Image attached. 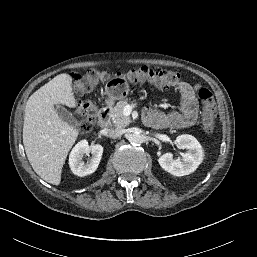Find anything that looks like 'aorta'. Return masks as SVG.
Returning <instances> with one entry per match:
<instances>
[{"mask_svg":"<svg viewBox=\"0 0 257 257\" xmlns=\"http://www.w3.org/2000/svg\"><path fill=\"white\" fill-rule=\"evenodd\" d=\"M129 142L132 145H140L143 143V136L140 133H133L129 136Z\"/></svg>","mask_w":257,"mask_h":257,"instance_id":"obj_1","label":"aorta"}]
</instances>
